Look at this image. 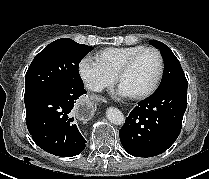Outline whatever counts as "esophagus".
I'll return each mask as SVG.
<instances>
[{"instance_id":"34e87169","label":"esophagus","mask_w":209,"mask_h":179,"mask_svg":"<svg viewBox=\"0 0 209 179\" xmlns=\"http://www.w3.org/2000/svg\"><path fill=\"white\" fill-rule=\"evenodd\" d=\"M74 118L82 123L90 121L95 113L94 103L90 99H79L72 110Z\"/></svg>"}]
</instances>
